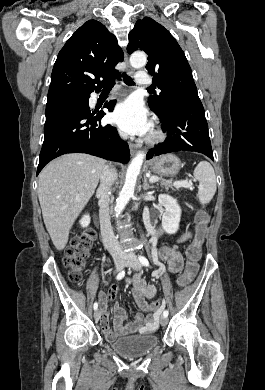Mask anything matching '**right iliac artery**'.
Wrapping results in <instances>:
<instances>
[{"instance_id": "82829eb1", "label": "right iliac artery", "mask_w": 265, "mask_h": 390, "mask_svg": "<svg viewBox=\"0 0 265 390\" xmlns=\"http://www.w3.org/2000/svg\"><path fill=\"white\" fill-rule=\"evenodd\" d=\"M124 276H125V271L123 270V271H121V272L117 275L116 279H117V280H121ZM93 308H94V310H96V309L98 308V303H97V302L94 303Z\"/></svg>"}]
</instances>
